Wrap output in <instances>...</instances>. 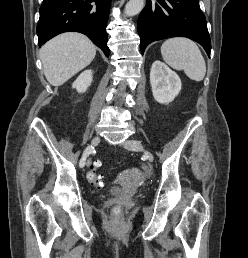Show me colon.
Instances as JSON below:
<instances>
[{"instance_id": "colon-1", "label": "colon", "mask_w": 248, "mask_h": 258, "mask_svg": "<svg viewBox=\"0 0 248 258\" xmlns=\"http://www.w3.org/2000/svg\"><path fill=\"white\" fill-rule=\"evenodd\" d=\"M86 180H89L92 185L98 188H102L104 186V180L101 175L95 173L94 171H91L89 174L85 175ZM113 212L115 214L121 213V207L119 205L113 206Z\"/></svg>"}]
</instances>
